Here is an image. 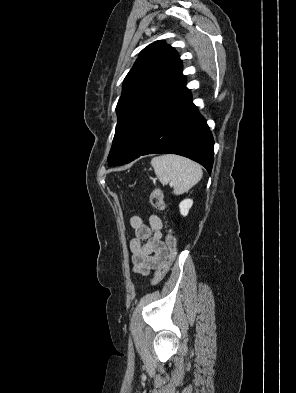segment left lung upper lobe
Masks as SVG:
<instances>
[{"instance_id": "obj_1", "label": "left lung upper lobe", "mask_w": 296, "mask_h": 393, "mask_svg": "<svg viewBox=\"0 0 296 393\" xmlns=\"http://www.w3.org/2000/svg\"><path fill=\"white\" fill-rule=\"evenodd\" d=\"M185 88L173 47L159 40L144 48L123 82L108 163L125 164L151 123Z\"/></svg>"}]
</instances>
